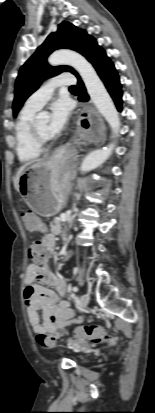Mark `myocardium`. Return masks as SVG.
<instances>
[{
	"mask_svg": "<svg viewBox=\"0 0 155 413\" xmlns=\"http://www.w3.org/2000/svg\"><path fill=\"white\" fill-rule=\"evenodd\" d=\"M30 134L33 142L40 148L44 147L50 140L49 138H45L40 135L36 129L35 122L31 123Z\"/></svg>",
	"mask_w": 155,
	"mask_h": 413,
	"instance_id": "f54148a6",
	"label": "myocardium"
}]
</instances>
